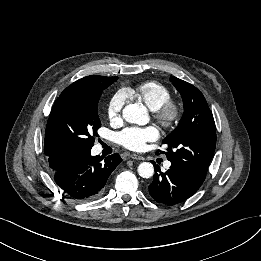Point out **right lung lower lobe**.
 <instances>
[{
	"mask_svg": "<svg viewBox=\"0 0 261 261\" xmlns=\"http://www.w3.org/2000/svg\"><path fill=\"white\" fill-rule=\"evenodd\" d=\"M121 161L118 153L102 161L88 151L55 171L54 180L65 197L79 202L90 201L101 194L110 174Z\"/></svg>",
	"mask_w": 261,
	"mask_h": 261,
	"instance_id": "98d812e1",
	"label": "right lung lower lobe"
}]
</instances>
